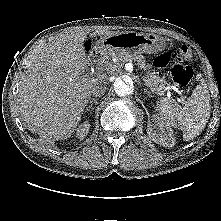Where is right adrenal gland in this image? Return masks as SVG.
<instances>
[{
	"instance_id": "2a0ac1e0",
	"label": "right adrenal gland",
	"mask_w": 221,
	"mask_h": 221,
	"mask_svg": "<svg viewBox=\"0 0 221 221\" xmlns=\"http://www.w3.org/2000/svg\"><path fill=\"white\" fill-rule=\"evenodd\" d=\"M89 103H90V105H89L88 107H92L93 104L96 105L98 102H97V99H95V98H91V99L89 100Z\"/></svg>"
}]
</instances>
